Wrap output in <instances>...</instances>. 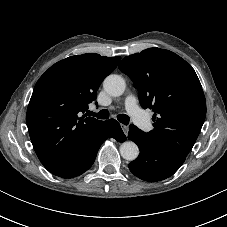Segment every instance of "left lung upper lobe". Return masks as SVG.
<instances>
[{
	"mask_svg": "<svg viewBox=\"0 0 227 227\" xmlns=\"http://www.w3.org/2000/svg\"><path fill=\"white\" fill-rule=\"evenodd\" d=\"M118 67L138 89L141 106L155 113L154 129L146 134L164 150L186 157L206 116L205 96L194 69L160 48L129 55Z\"/></svg>",
	"mask_w": 227,
	"mask_h": 227,
	"instance_id": "left-lung-upper-lobe-1",
	"label": "left lung upper lobe"
}]
</instances>
